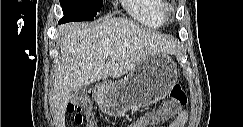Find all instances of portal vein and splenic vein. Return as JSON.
Segmentation results:
<instances>
[{
	"label": "portal vein and splenic vein",
	"mask_w": 243,
	"mask_h": 127,
	"mask_svg": "<svg viewBox=\"0 0 243 127\" xmlns=\"http://www.w3.org/2000/svg\"><path fill=\"white\" fill-rule=\"evenodd\" d=\"M106 54L107 55H111L112 54V51H106Z\"/></svg>",
	"instance_id": "portal-vein-and-splenic-vein-1"
}]
</instances>
